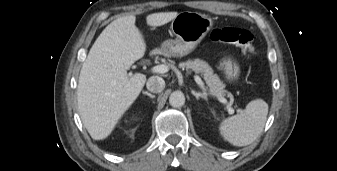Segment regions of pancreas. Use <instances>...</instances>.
Masks as SVG:
<instances>
[{"mask_svg":"<svg viewBox=\"0 0 337 171\" xmlns=\"http://www.w3.org/2000/svg\"><path fill=\"white\" fill-rule=\"evenodd\" d=\"M184 69H192L197 73H201L206 84L209 87L210 94L213 96H221L225 94V84L220 80L219 76L214 74L213 69L203 60H188L179 64Z\"/></svg>","mask_w":337,"mask_h":171,"instance_id":"1","label":"pancreas"}]
</instances>
